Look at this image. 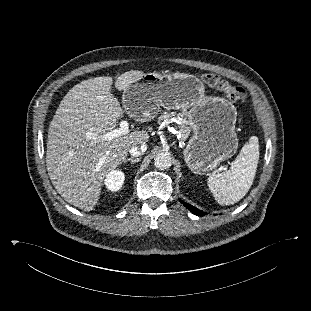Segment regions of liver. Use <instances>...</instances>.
I'll return each mask as SVG.
<instances>
[{"mask_svg": "<svg viewBox=\"0 0 311 311\" xmlns=\"http://www.w3.org/2000/svg\"><path fill=\"white\" fill-rule=\"evenodd\" d=\"M143 75L139 70L127 71L116 79L115 87L125 91ZM112 81L103 76L75 85L60 102L48 129L46 167L51 182L65 201L84 211L96 206L104 178L126 159L130 148L149 140L143 129L111 140L102 137L116 127L124 112L111 93Z\"/></svg>", "mask_w": 311, "mask_h": 311, "instance_id": "1", "label": "liver"}]
</instances>
